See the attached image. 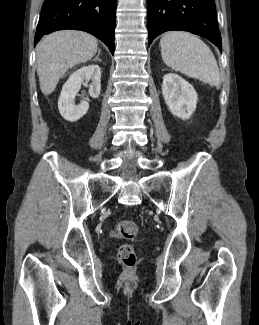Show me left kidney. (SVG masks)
Instances as JSON below:
<instances>
[{"instance_id": "obj_1", "label": "left kidney", "mask_w": 259, "mask_h": 325, "mask_svg": "<svg viewBox=\"0 0 259 325\" xmlns=\"http://www.w3.org/2000/svg\"><path fill=\"white\" fill-rule=\"evenodd\" d=\"M162 94L170 112L182 120L189 119L196 109V91L177 74L169 73L163 77Z\"/></svg>"}]
</instances>
